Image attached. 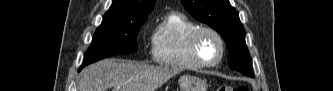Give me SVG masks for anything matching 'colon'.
<instances>
[{"instance_id": "colon-1", "label": "colon", "mask_w": 333, "mask_h": 91, "mask_svg": "<svg viewBox=\"0 0 333 91\" xmlns=\"http://www.w3.org/2000/svg\"><path fill=\"white\" fill-rule=\"evenodd\" d=\"M217 91H248V89L245 86L233 88L232 86H229V85H220L217 88Z\"/></svg>"}]
</instances>
